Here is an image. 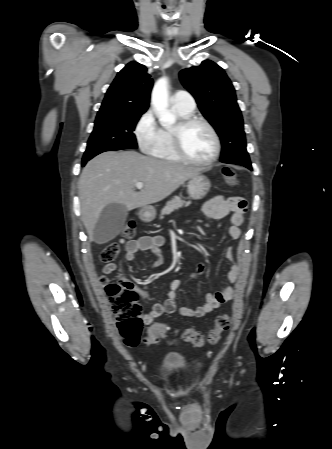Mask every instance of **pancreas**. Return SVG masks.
<instances>
[{"instance_id": "pancreas-1", "label": "pancreas", "mask_w": 332, "mask_h": 449, "mask_svg": "<svg viewBox=\"0 0 332 449\" xmlns=\"http://www.w3.org/2000/svg\"><path fill=\"white\" fill-rule=\"evenodd\" d=\"M190 201H184L180 197H175L168 201L165 205V207L161 210L160 219H162L165 215L171 214L173 211L182 208L187 207L190 205Z\"/></svg>"}]
</instances>
